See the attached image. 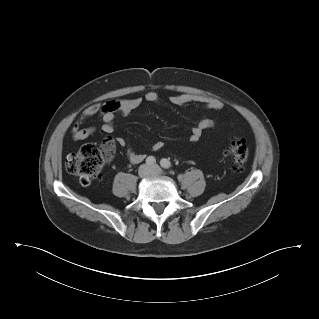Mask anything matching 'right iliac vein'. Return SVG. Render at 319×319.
I'll return each instance as SVG.
<instances>
[{
    "instance_id": "1",
    "label": "right iliac vein",
    "mask_w": 319,
    "mask_h": 319,
    "mask_svg": "<svg viewBox=\"0 0 319 319\" xmlns=\"http://www.w3.org/2000/svg\"><path fill=\"white\" fill-rule=\"evenodd\" d=\"M151 168L148 165H142L138 170V175L140 178H146L150 176Z\"/></svg>"
}]
</instances>
